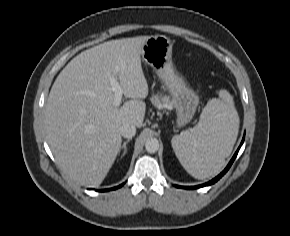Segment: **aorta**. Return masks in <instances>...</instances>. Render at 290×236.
<instances>
[{"label":"aorta","mask_w":290,"mask_h":236,"mask_svg":"<svg viewBox=\"0 0 290 236\" xmlns=\"http://www.w3.org/2000/svg\"><path fill=\"white\" fill-rule=\"evenodd\" d=\"M145 149L148 153H155L159 149V141L156 138H150L145 143Z\"/></svg>","instance_id":"762f6f07"}]
</instances>
